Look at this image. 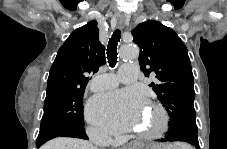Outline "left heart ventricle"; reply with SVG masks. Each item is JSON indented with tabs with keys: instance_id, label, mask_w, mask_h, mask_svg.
Wrapping results in <instances>:
<instances>
[{
	"instance_id": "1",
	"label": "left heart ventricle",
	"mask_w": 227,
	"mask_h": 149,
	"mask_svg": "<svg viewBox=\"0 0 227 149\" xmlns=\"http://www.w3.org/2000/svg\"><path fill=\"white\" fill-rule=\"evenodd\" d=\"M159 121V117L157 113L151 109L147 108V110L142 112L141 117L137 122V131L138 132H147L154 128Z\"/></svg>"
}]
</instances>
